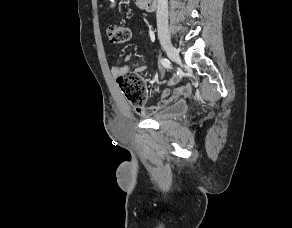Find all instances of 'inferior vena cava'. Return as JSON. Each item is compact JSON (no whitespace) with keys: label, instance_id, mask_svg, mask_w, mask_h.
Segmentation results:
<instances>
[{"label":"inferior vena cava","instance_id":"602c4592","mask_svg":"<svg viewBox=\"0 0 292 228\" xmlns=\"http://www.w3.org/2000/svg\"><path fill=\"white\" fill-rule=\"evenodd\" d=\"M156 17L159 40H168V0H158Z\"/></svg>","mask_w":292,"mask_h":228}]
</instances>
